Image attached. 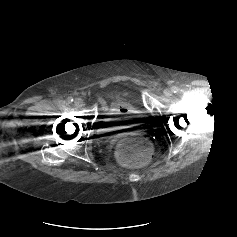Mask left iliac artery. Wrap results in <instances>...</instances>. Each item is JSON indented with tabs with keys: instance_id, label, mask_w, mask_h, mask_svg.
Instances as JSON below:
<instances>
[{
	"instance_id": "1",
	"label": "left iliac artery",
	"mask_w": 237,
	"mask_h": 237,
	"mask_svg": "<svg viewBox=\"0 0 237 237\" xmlns=\"http://www.w3.org/2000/svg\"><path fill=\"white\" fill-rule=\"evenodd\" d=\"M172 91H173L174 93H177V92L179 91V88L176 87V86H173V87H172Z\"/></svg>"
}]
</instances>
